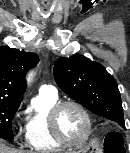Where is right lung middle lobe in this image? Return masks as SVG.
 Masks as SVG:
<instances>
[{
    "label": "right lung middle lobe",
    "mask_w": 130,
    "mask_h": 153,
    "mask_svg": "<svg viewBox=\"0 0 130 153\" xmlns=\"http://www.w3.org/2000/svg\"><path fill=\"white\" fill-rule=\"evenodd\" d=\"M19 105L20 103L0 100V138L14 140L11 122Z\"/></svg>",
    "instance_id": "1"
}]
</instances>
